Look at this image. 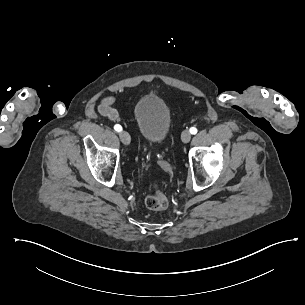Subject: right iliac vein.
<instances>
[{
  "label": "right iliac vein",
  "mask_w": 305,
  "mask_h": 305,
  "mask_svg": "<svg viewBox=\"0 0 305 305\" xmlns=\"http://www.w3.org/2000/svg\"><path fill=\"white\" fill-rule=\"evenodd\" d=\"M119 137L121 141L126 145H128L131 141L130 135L126 131H121L119 133Z\"/></svg>",
  "instance_id": "obj_1"
}]
</instances>
